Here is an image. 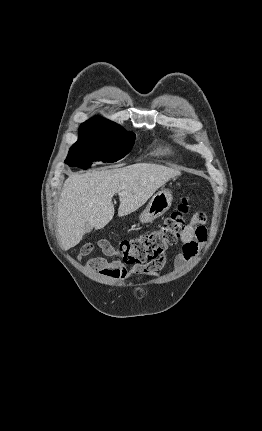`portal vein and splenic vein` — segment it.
<instances>
[{
    "label": "portal vein and splenic vein",
    "instance_id": "obj_1",
    "mask_svg": "<svg viewBox=\"0 0 262 431\" xmlns=\"http://www.w3.org/2000/svg\"><path fill=\"white\" fill-rule=\"evenodd\" d=\"M119 195H123L124 193L123 192H120V193H118Z\"/></svg>",
    "mask_w": 262,
    "mask_h": 431
}]
</instances>
